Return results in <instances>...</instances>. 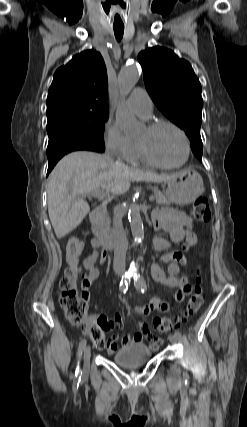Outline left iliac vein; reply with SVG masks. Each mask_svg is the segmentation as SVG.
I'll use <instances>...</instances> for the list:
<instances>
[{"instance_id": "1", "label": "left iliac vein", "mask_w": 247, "mask_h": 427, "mask_svg": "<svg viewBox=\"0 0 247 427\" xmlns=\"http://www.w3.org/2000/svg\"><path fill=\"white\" fill-rule=\"evenodd\" d=\"M179 337L177 335H170L169 340L171 343H176L178 341Z\"/></svg>"}]
</instances>
